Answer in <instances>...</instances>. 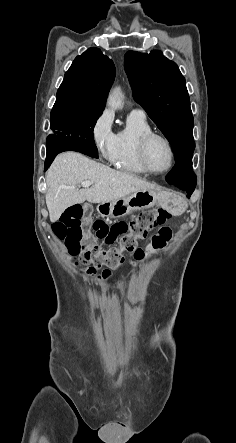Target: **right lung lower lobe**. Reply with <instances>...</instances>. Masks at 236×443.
<instances>
[{
    "label": "right lung lower lobe",
    "instance_id": "right-lung-lower-lobe-1",
    "mask_svg": "<svg viewBox=\"0 0 236 443\" xmlns=\"http://www.w3.org/2000/svg\"><path fill=\"white\" fill-rule=\"evenodd\" d=\"M63 151H77L88 156L98 158V150L96 145L77 141L76 138L70 141H64L59 137H54L47 142V157L45 161V171L50 166L55 156Z\"/></svg>",
    "mask_w": 236,
    "mask_h": 443
}]
</instances>
